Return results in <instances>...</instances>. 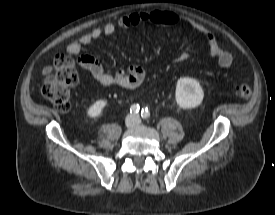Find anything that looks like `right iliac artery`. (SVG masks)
<instances>
[{"label":"right iliac artery","mask_w":275,"mask_h":215,"mask_svg":"<svg viewBox=\"0 0 275 215\" xmlns=\"http://www.w3.org/2000/svg\"><path fill=\"white\" fill-rule=\"evenodd\" d=\"M140 110V107L138 104H134L130 107V113L131 114H137Z\"/></svg>","instance_id":"right-iliac-artery-1"}]
</instances>
